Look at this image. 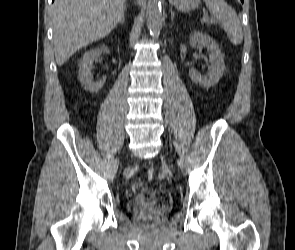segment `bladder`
<instances>
[{
    "mask_svg": "<svg viewBox=\"0 0 295 250\" xmlns=\"http://www.w3.org/2000/svg\"><path fill=\"white\" fill-rule=\"evenodd\" d=\"M159 201L158 192L152 187L143 188L136 197L139 208H149L155 206Z\"/></svg>",
    "mask_w": 295,
    "mask_h": 250,
    "instance_id": "bladder-1",
    "label": "bladder"
}]
</instances>
